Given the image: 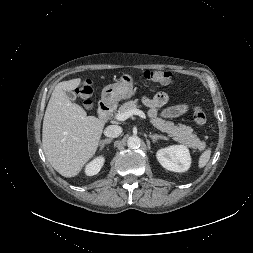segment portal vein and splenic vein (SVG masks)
Returning a JSON list of instances; mask_svg holds the SVG:
<instances>
[{"label":"portal vein and splenic vein","instance_id":"18ae733b","mask_svg":"<svg viewBox=\"0 0 253 253\" xmlns=\"http://www.w3.org/2000/svg\"><path fill=\"white\" fill-rule=\"evenodd\" d=\"M132 115H138L141 118L146 119V115L144 114V112H142L141 110H138V109H134V110H131V111L125 112V113H118L115 115V119L118 121H125L126 119H128Z\"/></svg>","mask_w":253,"mask_h":253}]
</instances>
